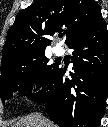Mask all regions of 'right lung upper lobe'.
<instances>
[{
	"mask_svg": "<svg viewBox=\"0 0 108 127\" xmlns=\"http://www.w3.org/2000/svg\"><path fill=\"white\" fill-rule=\"evenodd\" d=\"M102 18L95 0H37L21 10L7 33L1 65L45 52L47 36L64 30L65 43Z\"/></svg>",
	"mask_w": 108,
	"mask_h": 127,
	"instance_id": "obj_1",
	"label": "right lung upper lobe"
}]
</instances>
